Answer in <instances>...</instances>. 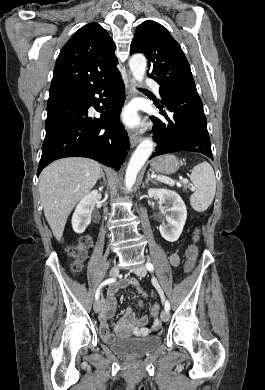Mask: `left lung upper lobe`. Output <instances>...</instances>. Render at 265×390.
<instances>
[{"instance_id":"5c2ea615","label":"left lung upper lobe","mask_w":265,"mask_h":390,"mask_svg":"<svg viewBox=\"0 0 265 390\" xmlns=\"http://www.w3.org/2000/svg\"><path fill=\"white\" fill-rule=\"evenodd\" d=\"M133 53L148 58V76L160 85V90L196 88L184 52L161 24L147 20L137 27L130 47Z\"/></svg>"}]
</instances>
